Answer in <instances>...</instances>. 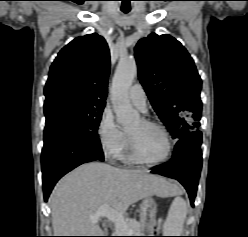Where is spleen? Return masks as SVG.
Returning a JSON list of instances; mask_svg holds the SVG:
<instances>
[{
  "label": "spleen",
  "mask_w": 248,
  "mask_h": 237,
  "mask_svg": "<svg viewBox=\"0 0 248 237\" xmlns=\"http://www.w3.org/2000/svg\"><path fill=\"white\" fill-rule=\"evenodd\" d=\"M186 215V201L180 196H177L173 200L168 211L166 221L164 222L163 231L165 236H180Z\"/></svg>",
  "instance_id": "obj_1"
}]
</instances>
